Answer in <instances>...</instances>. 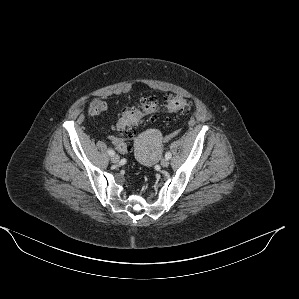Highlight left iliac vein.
I'll return each mask as SVG.
<instances>
[{
	"label": "left iliac vein",
	"mask_w": 299,
	"mask_h": 299,
	"mask_svg": "<svg viewBox=\"0 0 299 299\" xmlns=\"http://www.w3.org/2000/svg\"><path fill=\"white\" fill-rule=\"evenodd\" d=\"M169 165V160L164 158L161 160V166L162 167H167Z\"/></svg>",
	"instance_id": "4c4485c4"
}]
</instances>
